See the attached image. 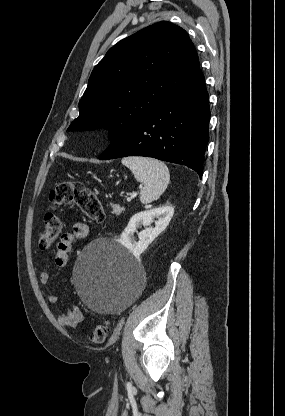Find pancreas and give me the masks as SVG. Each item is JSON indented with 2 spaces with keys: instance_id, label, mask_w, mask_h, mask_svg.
Listing matches in <instances>:
<instances>
[{
  "instance_id": "cf45deb5",
  "label": "pancreas",
  "mask_w": 285,
  "mask_h": 416,
  "mask_svg": "<svg viewBox=\"0 0 285 416\" xmlns=\"http://www.w3.org/2000/svg\"><path fill=\"white\" fill-rule=\"evenodd\" d=\"M111 208H113L112 214H122V212H125V208H122V206H119V204H112Z\"/></svg>"
}]
</instances>
